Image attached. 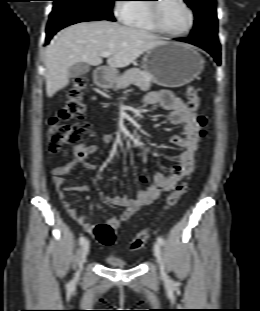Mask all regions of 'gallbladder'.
I'll return each mask as SVG.
<instances>
[{
	"label": "gallbladder",
	"instance_id": "1",
	"mask_svg": "<svg viewBox=\"0 0 260 311\" xmlns=\"http://www.w3.org/2000/svg\"><path fill=\"white\" fill-rule=\"evenodd\" d=\"M90 70V67L86 63H79L71 66L68 70V75L71 78L79 77L86 74Z\"/></svg>",
	"mask_w": 260,
	"mask_h": 311
}]
</instances>
